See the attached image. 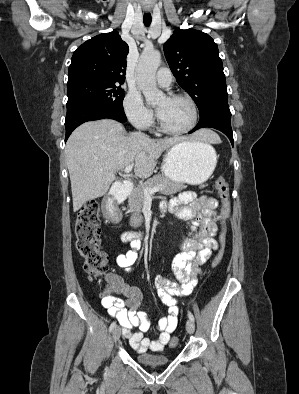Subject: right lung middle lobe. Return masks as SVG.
Masks as SVG:
<instances>
[{"instance_id":"obj_1","label":"right lung middle lobe","mask_w":299,"mask_h":394,"mask_svg":"<svg viewBox=\"0 0 299 394\" xmlns=\"http://www.w3.org/2000/svg\"><path fill=\"white\" fill-rule=\"evenodd\" d=\"M124 91L116 83L92 82L68 87L67 105L75 103H95L117 113H124Z\"/></svg>"}]
</instances>
